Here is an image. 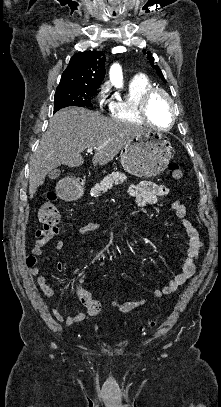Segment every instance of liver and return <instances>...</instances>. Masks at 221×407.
Returning <instances> with one entry per match:
<instances>
[{"instance_id": "liver-1", "label": "liver", "mask_w": 221, "mask_h": 407, "mask_svg": "<svg viewBox=\"0 0 221 407\" xmlns=\"http://www.w3.org/2000/svg\"><path fill=\"white\" fill-rule=\"evenodd\" d=\"M145 128L110 119L88 109L68 107L56 112L31 158L29 195L32 199L45 177L60 165L79 167L81 153L96 148L92 163L106 165Z\"/></svg>"}]
</instances>
